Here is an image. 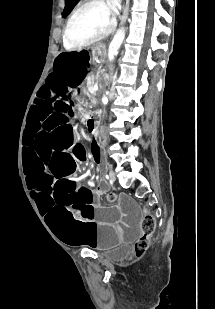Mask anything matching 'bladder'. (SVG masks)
<instances>
[{"instance_id":"31cf9c89","label":"bladder","mask_w":215,"mask_h":309,"mask_svg":"<svg viewBox=\"0 0 215 309\" xmlns=\"http://www.w3.org/2000/svg\"><path fill=\"white\" fill-rule=\"evenodd\" d=\"M129 253L130 251L128 248L120 247L105 253L104 256L110 261H121L125 259Z\"/></svg>"}]
</instances>
